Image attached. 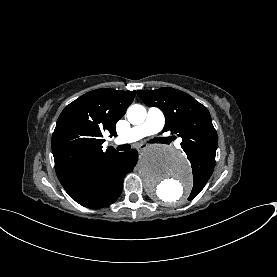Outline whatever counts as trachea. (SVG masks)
I'll list each match as a JSON object with an SVG mask.
<instances>
[{
    "label": "trachea",
    "mask_w": 277,
    "mask_h": 277,
    "mask_svg": "<svg viewBox=\"0 0 277 277\" xmlns=\"http://www.w3.org/2000/svg\"><path fill=\"white\" fill-rule=\"evenodd\" d=\"M131 148V146L129 144H125V145H119L117 147V150L118 151H127Z\"/></svg>",
    "instance_id": "3493384b"
}]
</instances>
